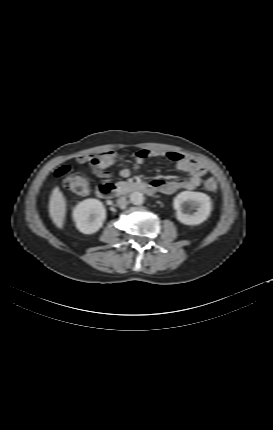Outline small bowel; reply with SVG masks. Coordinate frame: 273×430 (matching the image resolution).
I'll use <instances>...</instances> for the list:
<instances>
[{
	"instance_id": "1",
	"label": "small bowel",
	"mask_w": 273,
	"mask_h": 430,
	"mask_svg": "<svg viewBox=\"0 0 273 430\" xmlns=\"http://www.w3.org/2000/svg\"><path fill=\"white\" fill-rule=\"evenodd\" d=\"M158 157H167L176 163L179 170L189 174V177L186 179H177L173 181L154 180L152 183L155 185L157 191L164 194H173L181 189L193 190L201 184L202 177L207 173V168L204 164L175 151L142 149L135 154L134 160L137 165H142L148 159ZM78 160L81 163L89 164L98 177L107 178L109 177L108 168L118 161V156L115 152L108 151L95 156H81ZM130 174L131 171L129 168H123L120 171V175L124 178L129 177Z\"/></svg>"
}]
</instances>
